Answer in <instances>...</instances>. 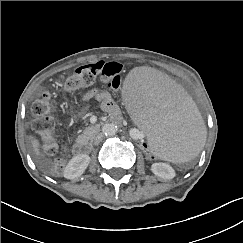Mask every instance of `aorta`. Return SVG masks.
Masks as SVG:
<instances>
[{"mask_svg": "<svg viewBox=\"0 0 243 243\" xmlns=\"http://www.w3.org/2000/svg\"><path fill=\"white\" fill-rule=\"evenodd\" d=\"M102 130L106 136H114L118 131V126L114 123H106Z\"/></svg>", "mask_w": 243, "mask_h": 243, "instance_id": "obj_1", "label": "aorta"}]
</instances>
